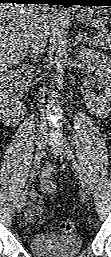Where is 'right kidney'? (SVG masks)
<instances>
[{
  "mask_svg": "<svg viewBox=\"0 0 111 257\" xmlns=\"http://www.w3.org/2000/svg\"><path fill=\"white\" fill-rule=\"evenodd\" d=\"M33 72V66L22 64L17 69L6 71L1 76L0 101L2 122L9 124L12 120H16V116H19L23 105L18 97H14L13 88L17 87L19 82L24 81L25 78L32 76Z\"/></svg>",
  "mask_w": 111,
  "mask_h": 257,
  "instance_id": "1",
  "label": "right kidney"
}]
</instances>
